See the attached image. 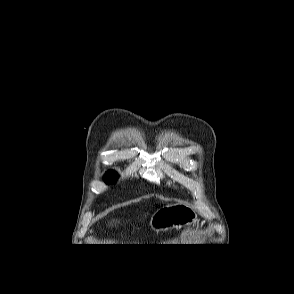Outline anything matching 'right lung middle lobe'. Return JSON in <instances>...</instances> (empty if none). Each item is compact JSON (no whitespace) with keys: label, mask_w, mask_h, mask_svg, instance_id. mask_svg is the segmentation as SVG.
<instances>
[{"label":"right lung middle lobe","mask_w":294,"mask_h":294,"mask_svg":"<svg viewBox=\"0 0 294 294\" xmlns=\"http://www.w3.org/2000/svg\"><path fill=\"white\" fill-rule=\"evenodd\" d=\"M117 179V175L114 171H109L106 173L105 177H104V180L106 183H114Z\"/></svg>","instance_id":"1"}]
</instances>
